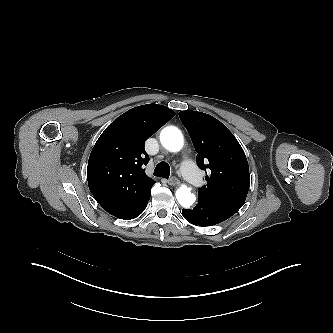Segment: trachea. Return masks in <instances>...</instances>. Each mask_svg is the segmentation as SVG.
<instances>
[{
    "label": "trachea",
    "instance_id": "trachea-1",
    "mask_svg": "<svg viewBox=\"0 0 333 333\" xmlns=\"http://www.w3.org/2000/svg\"><path fill=\"white\" fill-rule=\"evenodd\" d=\"M154 175L157 177H162V178H169L170 175V166L166 162H160L157 164L155 170H154Z\"/></svg>",
    "mask_w": 333,
    "mask_h": 333
}]
</instances>
